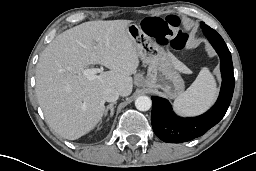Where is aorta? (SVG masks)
<instances>
[{"instance_id": "762f6f07", "label": "aorta", "mask_w": 256, "mask_h": 171, "mask_svg": "<svg viewBox=\"0 0 256 171\" xmlns=\"http://www.w3.org/2000/svg\"><path fill=\"white\" fill-rule=\"evenodd\" d=\"M152 101L148 96H139L135 100V107L139 111H148L151 108Z\"/></svg>"}]
</instances>
